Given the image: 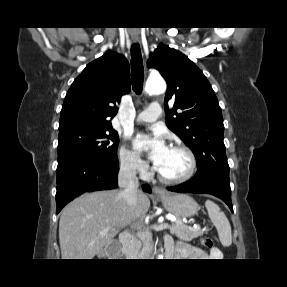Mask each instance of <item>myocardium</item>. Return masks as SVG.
I'll return each instance as SVG.
<instances>
[{
	"instance_id": "obj_1",
	"label": "myocardium",
	"mask_w": 287,
	"mask_h": 287,
	"mask_svg": "<svg viewBox=\"0 0 287 287\" xmlns=\"http://www.w3.org/2000/svg\"><path fill=\"white\" fill-rule=\"evenodd\" d=\"M170 148H173V149H177V150H181L183 151L184 153H186V155L188 156V159H189V169L188 171L180 176V177H174V178H171V177H167L165 175H163L159 170L158 168H156V172H157V175H158V178L164 182V183H168V184H180V183H184V182H187L188 180H190L194 174L196 173V170H197V167H198V160H197V157L194 153V151L188 147L187 145L185 144H182V143H175V144H172L170 146Z\"/></svg>"
}]
</instances>
